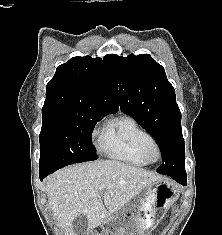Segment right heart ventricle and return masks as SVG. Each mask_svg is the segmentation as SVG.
Wrapping results in <instances>:
<instances>
[{
  "mask_svg": "<svg viewBox=\"0 0 222 235\" xmlns=\"http://www.w3.org/2000/svg\"><path fill=\"white\" fill-rule=\"evenodd\" d=\"M155 142L149 132L128 115L111 119L102 134L101 152L108 158L137 167L148 163L142 156L145 145Z\"/></svg>",
  "mask_w": 222,
  "mask_h": 235,
  "instance_id": "right-heart-ventricle-1",
  "label": "right heart ventricle"
}]
</instances>
